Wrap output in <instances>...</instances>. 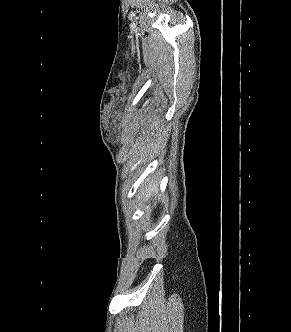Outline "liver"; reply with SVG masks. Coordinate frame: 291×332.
Wrapping results in <instances>:
<instances>
[{"label": "liver", "instance_id": "6515ba94", "mask_svg": "<svg viewBox=\"0 0 291 332\" xmlns=\"http://www.w3.org/2000/svg\"><path fill=\"white\" fill-rule=\"evenodd\" d=\"M156 189H157V183L155 184L153 181L145 185V191H144L145 201L150 200L154 196Z\"/></svg>", "mask_w": 291, "mask_h": 332}]
</instances>
